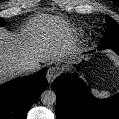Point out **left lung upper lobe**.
Listing matches in <instances>:
<instances>
[{
    "instance_id": "obj_1",
    "label": "left lung upper lobe",
    "mask_w": 119,
    "mask_h": 119,
    "mask_svg": "<svg viewBox=\"0 0 119 119\" xmlns=\"http://www.w3.org/2000/svg\"><path fill=\"white\" fill-rule=\"evenodd\" d=\"M107 29L106 34L102 38L100 45L114 48L119 46V25L111 17L106 15Z\"/></svg>"
}]
</instances>
